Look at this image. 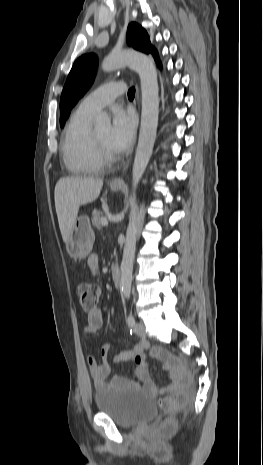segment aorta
<instances>
[{"mask_svg": "<svg viewBox=\"0 0 263 465\" xmlns=\"http://www.w3.org/2000/svg\"><path fill=\"white\" fill-rule=\"evenodd\" d=\"M123 66H129L135 70L141 82V126L132 169V186L135 191L146 170L156 139L159 114V86L156 67L152 59L143 53L131 50L114 51L102 62V69L106 72ZM110 123V117L106 113L98 115L95 120L96 126L100 128H108ZM130 206L131 212L126 230L120 280L122 293L125 298H129L131 293L133 262L138 233L135 193L130 198Z\"/></svg>", "mask_w": 263, "mask_h": 465, "instance_id": "1", "label": "aorta"}]
</instances>
